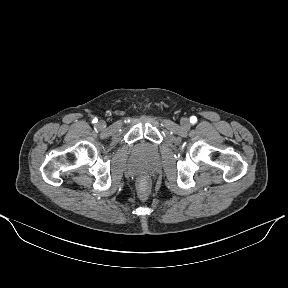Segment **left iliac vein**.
Wrapping results in <instances>:
<instances>
[{
  "label": "left iliac vein",
  "mask_w": 288,
  "mask_h": 288,
  "mask_svg": "<svg viewBox=\"0 0 288 288\" xmlns=\"http://www.w3.org/2000/svg\"><path fill=\"white\" fill-rule=\"evenodd\" d=\"M181 125L184 127V128H188L190 126V123H189V120L184 118L181 120Z\"/></svg>",
  "instance_id": "4c4485c4"
}]
</instances>
